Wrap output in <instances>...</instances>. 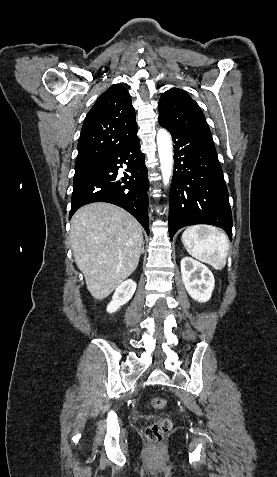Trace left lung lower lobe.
<instances>
[{
    "instance_id": "0a47b994",
    "label": "left lung lower lobe",
    "mask_w": 277,
    "mask_h": 477,
    "mask_svg": "<svg viewBox=\"0 0 277 477\" xmlns=\"http://www.w3.org/2000/svg\"><path fill=\"white\" fill-rule=\"evenodd\" d=\"M174 141L169 236L195 224L221 227L232 240V214L210 131L169 129Z\"/></svg>"
}]
</instances>
